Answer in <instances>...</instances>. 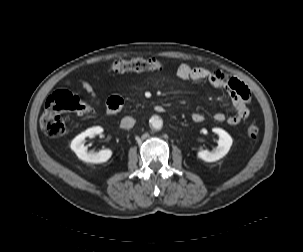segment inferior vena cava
Returning a JSON list of instances; mask_svg holds the SVG:
<instances>
[{
    "mask_svg": "<svg viewBox=\"0 0 303 252\" xmlns=\"http://www.w3.org/2000/svg\"><path fill=\"white\" fill-rule=\"evenodd\" d=\"M135 120L132 117L126 116L121 120V126L126 129H130L134 126Z\"/></svg>",
    "mask_w": 303,
    "mask_h": 252,
    "instance_id": "602c4592",
    "label": "inferior vena cava"
}]
</instances>
